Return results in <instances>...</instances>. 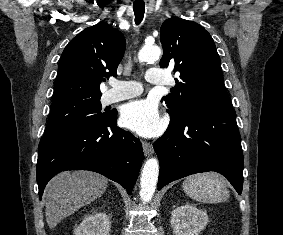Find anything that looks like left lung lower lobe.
<instances>
[{
  "instance_id": "1",
  "label": "left lung lower lobe",
  "mask_w": 283,
  "mask_h": 235,
  "mask_svg": "<svg viewBox=\"0 0 283 235\" xmlns=\"http://www.w3.org/2000/svg\"><path fill=\"white\" fill-rule=\"evenodd\" d=\"M154 149L160 162L158 190L185 176L215 171L242 193L244 161L234 109L171 121Z\"/></svg>"
}]
</instances>
